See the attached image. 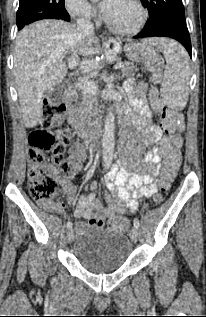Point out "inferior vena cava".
<instances>
[{
    "instance_id": "1",
    "label": "inferior vena cava",
    "mask_w": 206,
    "mask_h": 317,
    "mask_svg": "<svg viewBox=\"0 0 206 317\" xmlns=\"http://www.w3.org/2000/svg\"><path fill=\"white\" fill-rule=\"evenodd\" d=\"M77 30L83 35V36H92L94 35V26L93 23L89 18H79L77 20ZM86 138L90 141H93L96 139L95 130L93 128H90L86 133Z\"/></svg>"
}]
</instances>
